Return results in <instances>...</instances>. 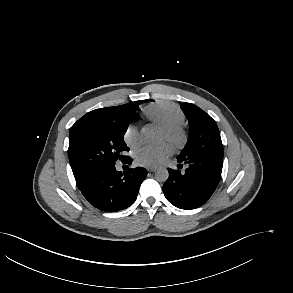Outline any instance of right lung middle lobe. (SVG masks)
Returning a JSON list of instances; mask_svg holds the SVG:
<instances>
[{"mask_svg":"<svg viewBox=\"0 0 293 293\" xmlns=\"http://www.w3.org/2000/svg\"><path fill=\"white\" fill-rule=\"evenodd\" d=\"M143 102L145 101H137L106 115L78 120L70 129V164L81 171L96 173L114 165L119 159L127 160L129 157L124 153L129 148L124 142V134L133 113Z\"/></svg>","mask_w":293,"mask_h":293,"instance_id":"right-lung-middle-lobe-1","label":"right lung middle lobe"}]
</instances>
